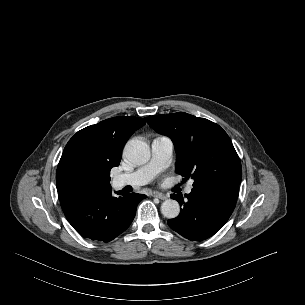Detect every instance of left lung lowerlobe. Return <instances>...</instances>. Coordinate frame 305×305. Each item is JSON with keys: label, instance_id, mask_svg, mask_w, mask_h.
I'll return each mask as SVG.
<instances>
[{"label": "left lung lower lobe", "instance_id": "1", "mask_svg": "<svg viewBox=\"0 0 305 305\" xmlns=\"http://www.w3.org/2000/svg\"><path fill=\"white\" fill-rule=\"evenodd\" d=\"M239 184H214L204 189L191 190L179 197L171 195L183 208L168 225L183 237L200 241L213 236L228 221L237 201Z\"/></svg>", "mask_w": 305, "mask_h": 305}]
</instances>
